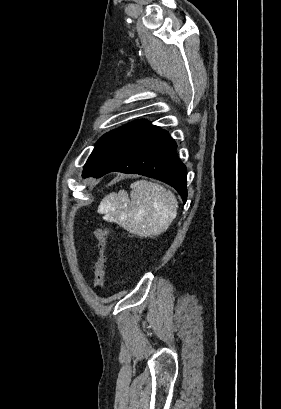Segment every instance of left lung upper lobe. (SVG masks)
I'll return each mask as SVG.
<instances>
[{
	"label": "left lung upper lobe",
	"instance_id": "5c2ea615",
	"mask_svg": "<svg viewBox=\"0 0 281 409\" xmlns=\"http://www.w3.org/2000/svg\"><path fill=\"white\" fill-rule=\"evenodd\" d=\"M160 130L147 121H135L103 135L88 158L82 176L91 177L103 165L129 147Z\"/></svg>",
	"mask_w": 281,
	"mask_h": 409
}]
</instances>
